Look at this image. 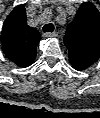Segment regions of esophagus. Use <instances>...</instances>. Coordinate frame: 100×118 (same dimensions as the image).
Returning a JSON list of instances; mask_svg holds the SVG:
<instances>
[{"label":"esophagus","instance_id":"esophagus-1","mask_svg":"<svg viewBox=\"0 0 100 118\" xmlns=\"http://www.w3.org/2000/svg\"><path fill=\"white\" fill-rule=\"evenodd\" d=\"M57 35V32H48L43 34L44 37H56Z\"/></svg>","mask_w":100,"mask_h":118}]
</instances>
